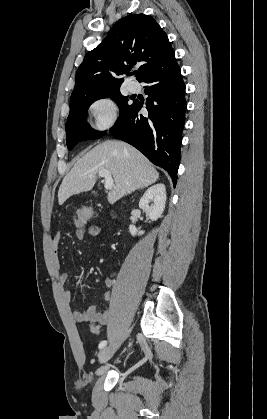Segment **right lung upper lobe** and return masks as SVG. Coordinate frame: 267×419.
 Returning <instances> with one entry per match:
<instances>
[{"mask_svg":"<svg viewBox=\"0 0 267 419\" xmlns=\"http://www.w3.org/2000/svg\"><path fill=\"white\" fill-rule=\"evenodd\" d=\"M175 53L166 33L145 14H131L111 29L101 44L89 51L79 66L71 101L85 96L120 90L122 75L136 63L137 80L175 62Z\"/></svg>","mask_w":267,"mask_h":419,"instance_id":"cb5924a9","label":"right lung upper lobe"}]
</instances>
